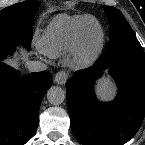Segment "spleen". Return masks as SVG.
<instances>
[{"mask_svg": "<svg viewBox=\"0 0 145 145\" xmlns=\"http://www.w3.org/2000/svg\"><path fill=\"white\" fill-rule=\"evenodd\" d=\"M114 93V88L109 81H101L99 83L98 94L101 98H111L114 95Z\"/></svg>", "mask_w": 145, "mask_h": 145, "instance_id": "obj_1", "label": "spleen"}]
</instances>
